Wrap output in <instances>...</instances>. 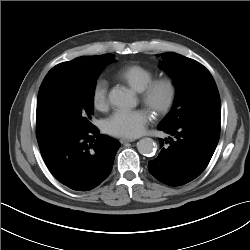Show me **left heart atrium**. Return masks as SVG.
Here are the masks:
<instances>
[{"label":"left heart atrium","mask_w":250,"mask_h":250,"mask_svg":"<svg viewBox=\"0 0 250 250\" xmlns=\"http://www.w3.org/2000/svg\"><path fill=\"white\" fill-rule=\"evenodd\" d=\"M150 121V112L146 109L116 110L105 122L108 133L133 139L142 135Z\"/></svg>","instance_id":"left-heart-atrium-1"}]
</instances>
